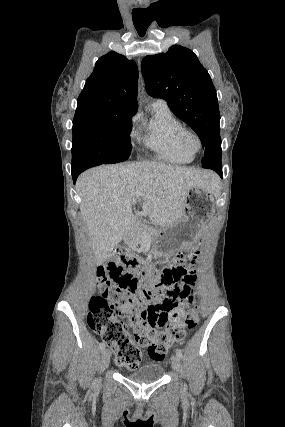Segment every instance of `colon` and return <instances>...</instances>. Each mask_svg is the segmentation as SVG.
I'll return each mask as SVG.
<instances>
[{
    "mask_svg": "<svg viewBox=\"0 0 285 427\" xmlns=\"http://www.w3.org/2000/svg\"><path fill=\"white\" fill-rule=\"evenodd\" d=\"M186 256L178 253L173 265L158 271L117 252L108 267L111 280L106 278L102 267L98 268L99 293L89 299L86 320L111 346L118 364L135 369L142 360V349L152 360L161 361L173 342L183 341L187 330L195 328V300L186 292L195 277L180 265ZM111 281L119 287L112 286ZM164 293L176 299L169 304V312L163 316L165 325L158 331L148 324L147 310ZM129 328L133 329V335Z\"/></svg>",
    "mask_w": 285,
    "mask_h": 427,
    "instance_id": "colon-1",
    "label": "colon"
}]
</instances>
